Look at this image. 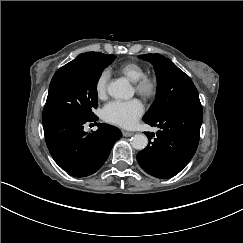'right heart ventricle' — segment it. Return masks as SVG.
I'll return each mask as SVG.
<instances>
[{
	"mask_svg": "<svg viewBox=\"0 0 243 243\" xmlns=\"http://www.w3.org/2000/svg\"><path fill=\"white\" fill-rule=\"evenodd\" d=\"M118 72L135 83L146 73V68L142 63L130 60L122 63L118 67Z\"/></svg>",
	"mask_w": 243,
	"mask_h": 243,
	"instance_id": "e07e8e85",
	"label": "right heart ventricle"
}]
</instances>
